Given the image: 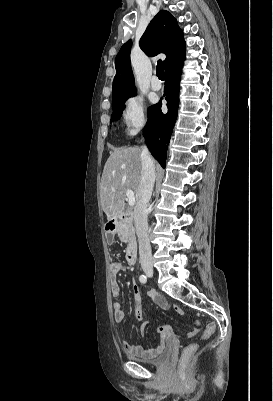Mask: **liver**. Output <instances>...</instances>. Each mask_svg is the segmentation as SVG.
<instances>
[{"instance_id": "liver-1", "label": "liver", "mask_w": 273, "mask_h": 401, "mask_svg": "<svg viewBox=\"0 0 273 401\" xmlns=\"http://www.w3.org/2000/svg\"><path fill=\"white\" fill-rule=\"evenodd\" d=\"M141 168V148L122 146L110 152L100 182L101 205L108 221L124 211L127 190L135 192L137 201Z\"/></svg>"}]
</instances>
